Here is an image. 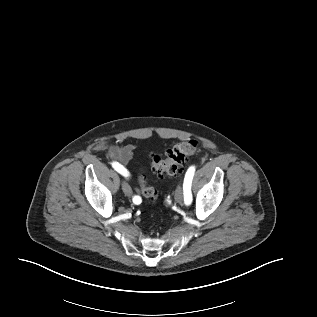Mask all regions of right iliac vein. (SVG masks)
<instances>
[{"mask_svg": "<svg viewBox=\"0 0 317 317\" xmlns=\"http://www.w3.org/2000/svg\"><path fill=\"white\" fill-rule=\"evenodd\" d=\"M122 190L125 193V195H127V196H129L131 194V187L126 182H122Z\"/></svg>", "mask_w": 317, "mask_h": 317, "instance_id": "63e3f726", "label": "right iliac vein"}]
</instances>
